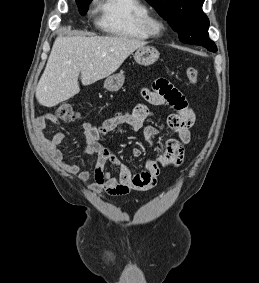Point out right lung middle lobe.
I'll use <instances>...</instances> for the list:
<instances>
[{"mask_svg": "<svg viewBox=\"0 0 259 283\" xmlns=\"http://www.w3.org/2000/svg\"><path fill=\"white\" fill-rule=\"evenodd\" d=\"M92 0H76L81 15H85Z\"/></svg>", "mask_w": 259, "mask_h": 283, "instance_id": "1", "label": "right lung middle lobe"}]
</instances>
